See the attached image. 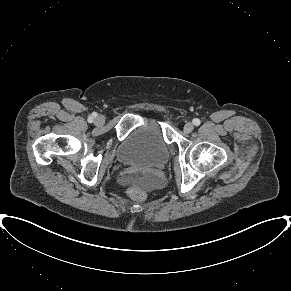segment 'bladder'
Wrapping results in <instances>:
<instances>
[{
  "mask_svg": "<svg viewBox=\"0 0 291 291\" xmlns=\"http://www.w3.org/2000/svg\"><path fill=\"white\" fill-rule=\"evenodd\" d=\"M170 155L161 126L154 120L145 121L134 129L119 145L117 159L125 165L160 167Z\"/></svg>",
  "mask_w": 291,
  "mask_h": 291,
  "instance_id": "31cf9c89",
  "label": "bladder"
}]
</instances>
